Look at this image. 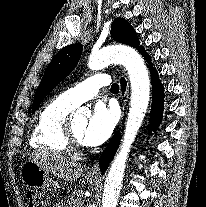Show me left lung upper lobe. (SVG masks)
Segmentation results:
<instances>
[{"label":"left lung upper lobe","instance_id":"1","mask_svg":"<svg viewBox=\"0 0 206 207\" xmlns=\"http://www.w3.org/2000/svg\"><path fill=\"white\" fill-rule=\"evenodd\" d=\"M111 36L120 43L138 48V51L141 53L144 51V48L139 46L136 32L123 18L114 19L111 27ZM82 50V44L68 45L61 49L52 59L35 93L32 113L37 110L46 95L74 69L80 59Z\"/></svg>","mask_w":206,"mask_h":207}]
</instances>
